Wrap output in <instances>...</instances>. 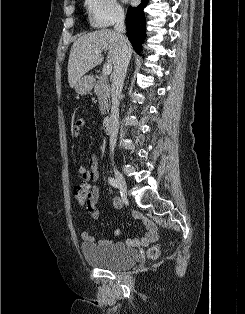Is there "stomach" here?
Masks as SVG:
<instances>
[{"label": "stomach", "instance_id": "obj_1", "mask_svg": "<svg viewBox=\"0 0 245 314\" xmlns=\"http://www.w3.org/2000/svg\"><path fill=\"white\" fill-rule=\"evenodd\" d=\"M92 87H93L92 77L84 76L77 81L75 85V91L79 95H86L91 91Z\"/></svg>", "mask_w": 245, "mask_h": 314}]
</instances>
